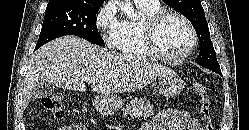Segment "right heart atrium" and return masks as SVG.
I'll use <instances>...</instances> for the list:
<instances>
[{"mask_svg": "<svg viewBox=\"0 0 249 130\" xmlns=\"http://www.w3.org/2000/svg\"><path fill=\"white\" fill-rule=\"evenodd\" d=\"M119 24L120 22L116 15L115 5L112 2L105 3L96 14L95 26L102 34L107 44H114Z\"/></svg>", "mask_w": 249, "mask_h": 130, "instance_id": "1", "label": "right heart atrium"}]
</instances>
